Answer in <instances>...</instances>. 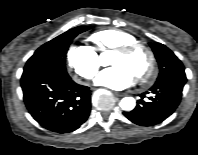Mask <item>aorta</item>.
Wrapping results in <instances>:
<instances>
[{"label":"aorta","instance_id":"1","mask_svg":"<svg viewBox=\"0 0 198 155\" xmlns=\"http://www.w3.org/2000/svg\"><path fill=\"white\" fill-rule=\"evenodd\" d=\"M112 51L107 50L100 54L99 63L102 66H108L111 64ZM136 101L133 97H124L120 101V107L125 111H131L135 108Z\"/></svg>","mask_w":198,"mask_h":155}]
</instances>
